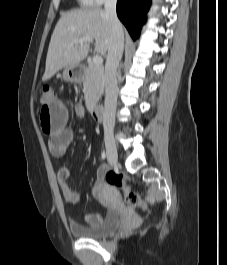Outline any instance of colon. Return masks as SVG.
<instances>
[{"label":"colon","instance_id":"colon-1","mask_svg":"<svg viewBox=\"0 0 227 265\" xmlns=\"http://www.w3.org/2000/svg\"><path fill=\"white\" fill-rule=\"evenodd\" d=\"M37 97L42 109V102H49L54 97V93L48 85H40L37 88ZM105 178L109 185L114 186L122 191L127 205L143 210L146 209L147 204L145 200L129 188V186L126 184V178L122 173L117 171H109L106 173Z\"/></svg>","mask_w":227,"mask_h":265}]
</instances>
